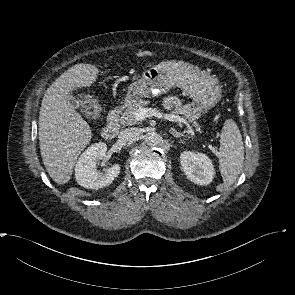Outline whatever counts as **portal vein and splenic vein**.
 <instances>
[{"mask_svg": "<svg viewBox=\"0 0 295 295\" xmlns=\"http://www.w3.org/2000/svg\"><path fill=\"white\" fill-rule=\"evenodd\" d=\"M151 116H155V117H159V118H164L166 120L172 121V122H180V123H184L187 124L186 120L178 115H173V114H162L160 112H158L155 109L152 108H139L135 111L134 113V117L137 120H144L147 117H151Z\"/></svg>", "mask_w": 295, "mask_h": 295, "instance_id": "18ae733b", "label": "portal vein and splenic vein"}]
</instances>
